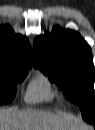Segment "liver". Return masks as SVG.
<instances>
[{"label": "liver", "mask_w": 95, "mask_h": 130, "mask_svg": "<svg viewBox=\"0 0 95 130\" xmlns=\"http://www.w3.org/2000/svg\"><path fill=\"white\" fill-rule=\"evenodd\" d=\"M77 120L35 109L1 110L0 130H82Z\"/></svg>", "instance_id": "6515ba94"}]
</instances>
